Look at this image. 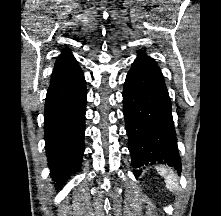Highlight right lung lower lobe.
<instances>
[{"instance_id": "right-lung-lower-lobe-1", "label": "right lung lower lobe", "mask_w": 221, "mask_h": 216, "mask_svg": "<svg viewBox=\"0 0 221 216\" xmlns=\"http://www.w3.org/2000/svg\"><path fill=\"white\" fill-rule=\"evenodd\" d=\"M86 81L80 69L50 82L45 99L44 139L52 179L62 187L82 162Z\"/></svg>"}]
</instances>
